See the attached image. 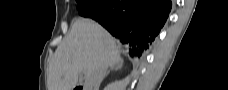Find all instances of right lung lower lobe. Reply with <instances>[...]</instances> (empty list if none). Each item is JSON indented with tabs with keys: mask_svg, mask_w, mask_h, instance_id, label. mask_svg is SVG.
Masks as SVG:
<instances>
[{
	"mask_svg": "<svg viewBox=\"0 0 228 90\" xmlns=\"http://www.w3.org/2000/svg\"><path fill=\"white\" fill-rule=\"evenodd\" d=\"M171 6L170 0H107L92 19L119 39L131 57L140 58L165 24Z\"/></svg>",
	"mask_w": 228,
	"mask_h": 90,
	"instance_id": "98d812e1",
	"label": "right lung lower lobe"
}]
</instances>
